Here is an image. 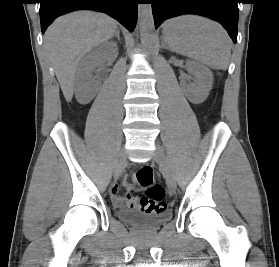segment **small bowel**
<instances>
[{"mask_svg":"<svg viewBox=\"0 0 279 267\" xmlns=\"http://www.w3.org/2000/svg\"><path fill=\"white\" fill-rule=\"evenodd\" d=\"M124 186L131 192L133 189L132 183L126 178L124 180ZM111 199L114 205L126 208H133L137 205V198L133 197L131 194L120 195L118 192V186L112 185L110 189Z\"/></svg>","mask_w":279,"mask_h":267,"instance_id":"c3829d8e","label":"small bowel"}]
</instances>
